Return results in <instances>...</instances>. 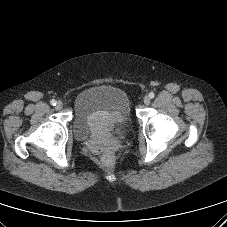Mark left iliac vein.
<instances>
[{"mask_svg":"<svg viewBox=\"0 0 227 227\" xmlns=\"http://www.w3.org/2000/svg\"><path fill=\"white\" fill-rule=\"evenodd\" d=\"M150 97L149 96H145L144 97V99H143V103L145 104V105H149L150 104Z\"/></svg>","mask_w":227,"mask_h":227,"instance_id":"obj_1","label":"left iliac vein"}]
</instances>
